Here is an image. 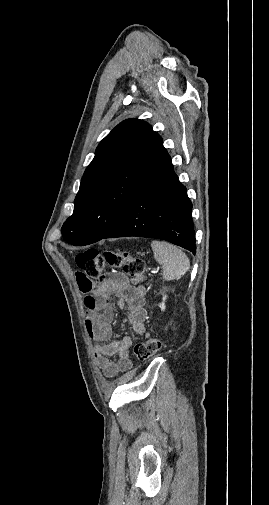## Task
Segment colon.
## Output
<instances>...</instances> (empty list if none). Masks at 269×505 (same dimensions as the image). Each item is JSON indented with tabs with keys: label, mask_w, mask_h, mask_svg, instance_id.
<instances>
[{
	"label": "colon",
	"mask_w": 269,
	"mask_h": 505,
	"mask_svg": "<svg viewBox=\"0 0 269 505\" xmlns=\"http://www.w3.org/2000/svg\"><path fill=\"white\" fill-rule=\"evenodd\" d=\"M75 262L78 268H84L91 281H100L107 265L122 268L133 283L145 280V265L140 258L132 257L127 252L105 251L87 249L76 255ZM162 348V342L157 338H150L134 347V354L139 361H146L156 355Z\"/></svg>",
	"instance_id": "obj_1"
}]
</instances>
